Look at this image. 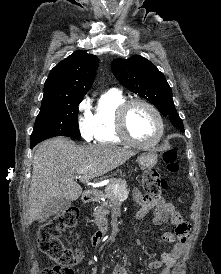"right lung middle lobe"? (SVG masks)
I'll return each instance as SVG.
<instances>
[{"mask_svg":"<svg viewBox=\"0 0 221 274\" xmlns=\"http://www.w3.org/2000/svg\"><path fill=\"white\" fill-rule=\"evenodd\" d=\"M82 98L42 100L36 118L30 145L55 137H79L78 105Z\"/></svg>","mask_w":221,"mask_h":274,"instance_id":"dd1d6c3e","label":"right lung middle lobe"}]
</instances>
